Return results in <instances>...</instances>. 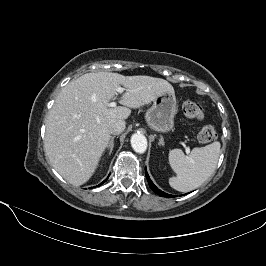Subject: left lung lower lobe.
<instances>
[{
  "label": "left lung lower lobe",
  "instance_id": "1",
  "mask_svg": "<svg viewBox=\"0 0 266 266\" xmlns=\"http://www.w3.org/2000/svg\"><path fill=\"white\" fill-rule=\"evenodd\" d=\"M145 174H146V178H147V181H148L149 187H150V188H151L156 194H158V195L161 196V197H167V198H168V197H175L174 195L167 194V193L161 191L160 189H158V188L154 185V183L151 181V179H150V177H149V175H148V173H147L146 168H145Z\"/></svg>",
  "mask_w": 266,
  "mask_h": 266
}]
</instances>
